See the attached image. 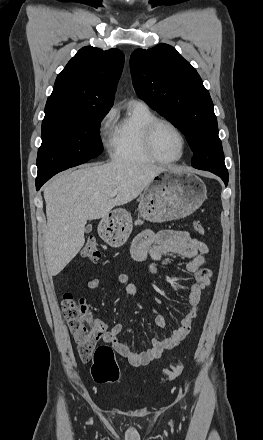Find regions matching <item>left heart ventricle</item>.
Segmentation results:
<instances>
[{
	"label": "left heart ventricle",
	"instance_id": "b2bd125f",
	"mask_svg": "<svg viewBox=\"0 0 263 440\" xmlns=\"http://www.w3.org/2000/svg\"><path fill=\"white\" fill-rule=\"evenodd\" d=\"M153 148L160 158L170 160L180 155L182 143L179 135L171 127L162 124L155 130Z\"/></svg>",
	"mask_w": 263,
	"mask_h": 440
}]
</instances>
